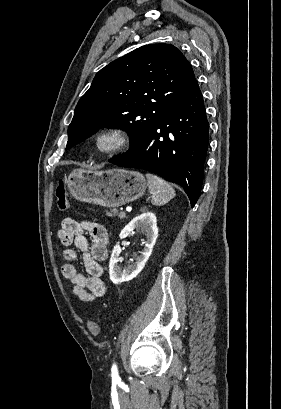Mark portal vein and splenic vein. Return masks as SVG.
Instances as JSON below:
<instances>
[{
  "mask_svg": "<svg viewBox=\"0 0 281 409\" xmlns=\"http://www.w3.org/2000/svg\"><path fill=\"white\" fill-rule=\"evenodd\" d=\"M119 216H120L121 220H127L128 219V216H127L126 212H120Z\"/></svg>",
  "mask_w": 281,
  "mask_h": 409,
  "instance_id": "1",
  "label": "portal vein and splenic vein"
}]
</instances>
